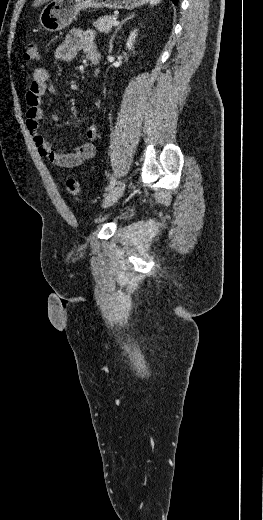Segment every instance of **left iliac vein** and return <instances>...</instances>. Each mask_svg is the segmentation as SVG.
<instances>
[{
    "instance_id": "1",
    "label": "left iliac vein",
    "mask_w": 263,
    "mask_h": 520,
    "mask_svg": "<svg viewBox=\"0 0 263 520\" xmlns=\"http://www.w3.org/2000/svg\"><path fill=\"white\" fill-rule=\"evenodd\" d=\"M125 182H119L115 187H113L110 192L106 195L102 206L107 208L113 205L123 194L125 190Z\"/></svg>"
}]
</instances>
